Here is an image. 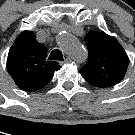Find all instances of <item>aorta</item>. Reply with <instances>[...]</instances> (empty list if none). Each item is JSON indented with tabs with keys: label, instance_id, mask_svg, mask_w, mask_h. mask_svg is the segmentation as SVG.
I'll list each match as a JSON object with an SVG mask.
<instances>
[{
	"label": "aorta",
	"instance_id": "obj_1",
	"mask_svg": "<svg viewBox=\"0 0 135 135\" xmlns=\"http://www.w3.org/2000/svg\"><path fill=\"white\" fill-rule=\"evenodd\" d=\"M59 45L72 59L83 62L87 58V51L82 44L72 35L62 33L59 38Z\"/></svg>",
	"mask_w": 135,
	"mask_h": 135
}]
</instances>
